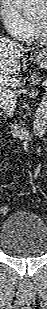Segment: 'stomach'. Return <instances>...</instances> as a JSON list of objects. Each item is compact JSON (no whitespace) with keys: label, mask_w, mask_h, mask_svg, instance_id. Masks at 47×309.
<instances>
[{"label":"stomach","mask_w":47,"mask_h":309,"mask_svg":"<svg viewBox=\"0 0 47 309\" xmlns=\"http://www.w3.org/2000/svg\"><path fill=\"white\" fill-rule=\"evenodd\" d=\"M32 59L38 66L47 69V47L35 52Z\"/></svg>","instance_id":"0dacf381"}]
</instances>
